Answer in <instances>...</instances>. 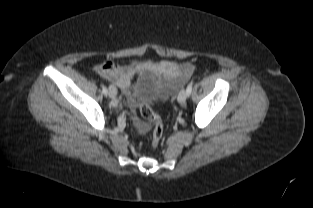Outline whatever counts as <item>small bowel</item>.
<instances>
[{"label": "small bowel", "instance_id": "c3829d8e", "mask_svg": "<svg viewBox=\"0 0 313 208\" xmlns=\"http://www.w3.org/2000/svg\"><path fill=\"white\" fill-rule=\"evenodd\" d=\"M144 70H148L155 75L164 76L172 87H177L193 74L194 66L191 63L179 64L168 60L160 62L133 60L124 65H117L110 60H106L95 68L100 77L114 82L126 92L130 89L134 77ZM137 123L140 127H143V123L140 121H137Z\"/></svg>", "mask_w": 313, "mask_h": 208}]
</instances>
